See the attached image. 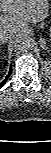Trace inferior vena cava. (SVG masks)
I'll return each mask as SVG.
<instances>
[{"instance_id": "inferior-vena-cava-1", "label": "inferior vena cava", "mask_w": 51, "mask_h": 153, "mask_svg": "<svg viewBox=\"0 0 51 153\" xmlns=\"http://www.w3.org/2000/svg\"><path fill=\"white\" fill-rule=\"evenodd\" d=\"M12 37H13V33H8V32H5V31L2 30L1 33H0V42L1 43L7 42Z\"/></svg>"}]
</instances>
